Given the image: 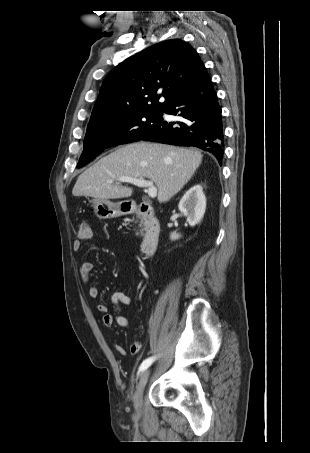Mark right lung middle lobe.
I'll return each mask as SVG.
<instances>
[{
	"label": "right lung middle lobe",
	"mask_w": 310,
	"mask_h": 453,
	"mask_svg": "<svg viewBox=\"0 0 310 453\" xmlns=\"http://www.w3.org/2000/svg\"><path fill=\"white\" fill-rule=\"evenodd\" d=\"M162 110L134 111L89 124L77 167L90 162L104 149L138 141L162 120Z\"/></svg>",
	"instance_id": "obj_1"
}]
</instances>
